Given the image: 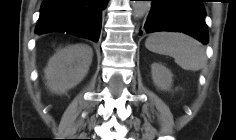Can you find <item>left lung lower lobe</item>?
I'll return each instance as SVG.
<instances>
[{"instance_id":"obj_1","label":"left lung lower lobe","mask_w":236,"mask_h":140,"mask_svg":"<svg viewBox=\"0 0 236 140\" xmlns=\"http://www.w3.org/2000/svg\"><path fill=\"white\" fill-rule=\"evenodd\" d=\"M152 8L144 25L147 33L177 31L208 43L203 0H152ZM141 34V33H140Z\"/></svg>"}]
</instances>
